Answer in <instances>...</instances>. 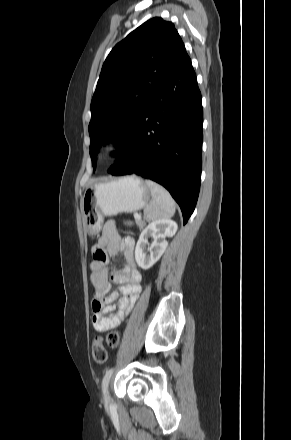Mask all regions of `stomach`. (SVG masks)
<instances>
[{"label": "stomach", "mask_w": 291, "mask_h": 440, "mask_svg": "<svg viewBox=\"0 0 291 440\" xmlns=\"http://www.w3.org/2000/svg\"><path fill=\"white\" fill-rule=\"evenodd\" d=\"M151 191L135 176H124L88 187L81 202L87 233L94 235L103 224L104 216L135 212L149 202Z\"/></svg>", "instance_id": "stomach-1"}]
</instances>
